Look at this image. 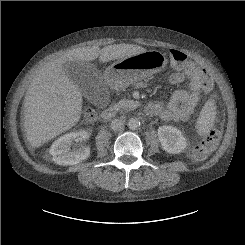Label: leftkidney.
<instances>
[{
  "mask_svg": "<svg viewBox=\"0 0 245 245\" xmlns=\"http://www.w3.org/2000/svg\"><path fill=\"white\" fill-rule=\"evenodd\" d=\"M157 133L161 146L167 153L178 154L187 146L185 137L176 127L161 126Z\"/></svg>",
  "mask_w": 245,
  "mask_h": 245,
  "instance_id": "left-kidney-1",
  "label": "left kidney"
}]
</instances>
